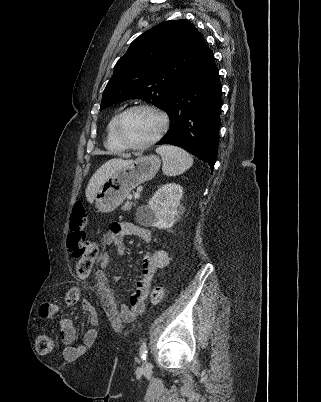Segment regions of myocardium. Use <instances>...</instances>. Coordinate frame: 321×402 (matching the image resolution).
Segmentation results:
<instances>
[{"label": "myocardium", "instance_id": "1", "mask_svg": "<svg viewBox=\"0 0 321 402\" xmlns=\"http://www.w3.org/2000/svg\"><path fill=\"white\" fill-rule=\"evenodd\" d=\"M134 110H148V111H151V112L157 114L161 119V128H160L159 132L157 133V135L154 136L149 141L144 142L142 144H132V143L128 142L124 138V136L122 135V132H121V125H122V121H123L124 117L129 112L134 111ZM169 125H170V120L164 110H162L161 108H159L157 106L151 105V104L140 103V104H134V105L128 106L127 108H125L118 114L116 121H115V125H114V131H115V135H116L119 143L125 149L140 151V150H145V149L153 146L154 144H156L166 134V132L169 129Z\"/></svg>", "mask_w": 321, "mask_h": 402}]
</instances>
